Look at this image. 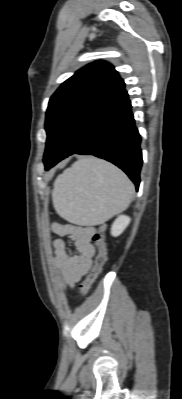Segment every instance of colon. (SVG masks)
<instances>
[{"mask_svg":"<svg viewBox=\"0 0 182 399\" xmlns=\"http://www.w3.org/2000/svg\"><path fill=\"white\" fill-rule=\"evenodd\" d=\"M94 245L97 248V256L94 262V266L86 279L81 284V293L86 294L102 272L103 266L107 261V249L105 245V227L99 226L92 237Z\"/></svg>","mask_w":182,"mask_h":399,"instance_id":"colon-1","label":"colon"}]
</instances>
